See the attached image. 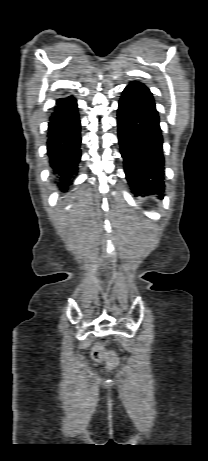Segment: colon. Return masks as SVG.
Here are the masks:
<instances>
[{"mask_svg": "<svg viewBox=\"0 0 208 461\" xmlns=\"http://www.w3.org/2000/svg\"><path fill=\"white\" fill-rule=\"evenodd\" d=\"M92 357L97 362H105L108 368H114L118 364L117 354L112 350H106L100 342L95 344Z\"/></svg>", "mask_w": 208, "mask_h": 461, "instance_id": "colon-1", "label": "colon"}]
</instances>
